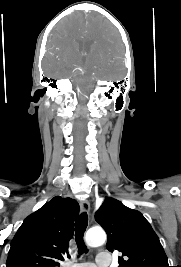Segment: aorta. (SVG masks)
<instances>
[{"instance_id": "obj_1", "label": "aorta", "mask_w": 181, "mask_h": 267, "mask_svg": "<svg viewBox=\"0 0 181 267\" xmlns=\"http://www.w3.org/2000/svg\"><path fill=\"white\" fill-rule=\"evenodd\" d=\"M106 233L102 229H90L85 236L86 244L90 247H98L105 243Z\"/></svg>"}]
</instances>
